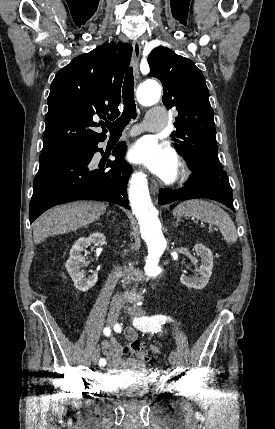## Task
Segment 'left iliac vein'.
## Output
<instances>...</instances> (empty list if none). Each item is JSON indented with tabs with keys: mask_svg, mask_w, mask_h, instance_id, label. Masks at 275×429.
I'll use <instances>...</instances> for the list:
<instances>
[{
	"mask_svg": "<svg viewBox=\"0 0 275 429\" xmlns=\"http://www.w3.org/2000/svg\"><path fill=\"white\" fill-rule=\"evenodd\" d=\"M126 310H127L128 314H130L134 317H144V315H145V311L142 308L137 307V306L128 307V308H126ZM177 361H178V353L176 351H172L170 353V356H169V362L172 365H175L177 363Z\"/></svg>",
	"mask_w": 275,
	"mask_h": 429,
	"instance_id": "left-iliac-vein-1",
	"label": "left iliac vein"
}]
</instances>
